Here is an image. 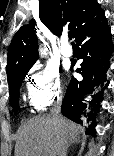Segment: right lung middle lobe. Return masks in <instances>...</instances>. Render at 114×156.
I'll return each instance as SVG.
<instances>
[{"instance_id":"right-lung-middle-lobe-1","label":"right lung middle lobe","mask_w":114,"mask_h":156,"mask_svg":"<svg viewBox=\"0 0 114 156\" xmlns=\"http://www.w3.org/2000/svg\"><path fill=\"white\" fill-rule=\"evenodd\" d=\"M26 74H27V72L17 75L15 77H13L8 83L9 84V93H10V96L12 97L10 100V103L13 108L19 107L18 90H19L21 83H22L23 79L25 78Z\"/></svg>"}]
</instances>
